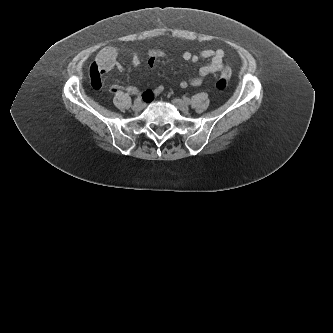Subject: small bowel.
I'll return each mask as SVG.
<instances>
[{"label": "small bowel", "mask_w": 333, "mask_h": 333, "mask_svg": "<svg viewBox=\"0 0 333 333\" xmlns=\"http://www.w3.org/2000/svg\"><path fill=\"white\" fill-rule=\"evenodd\" d=\"M119 47L117 46H106L100 50L95 61L90 65V82L91 86L95 90H99L102 87V81L100 73H107L113 69L122 70L121 64L118 62ZM164 53L159 49H153L148 53V64L153 66L156 60L162 57ZM224 51L221 49H206L200 54H192L191 52H184L182 58L184 61L197 63L201 58L209 59L210 62L199 68L197 76L193 78H187L180 81V87L186 88L188 86H199L202 84L204 79L212 74L219 72L224 67ZM131 63L134 67H138L142 64V59L139 54L131 53ZM122 90L120 85L114 84L110 86L109 92L114 94ZM129 94H139V90L135 86H127L124 88ZM163 91L162 86H158L152 90H147L143 93L146 99L159 95Z\"/></svg>", "instance_id": "small-bowel-1"}]
</instances>
